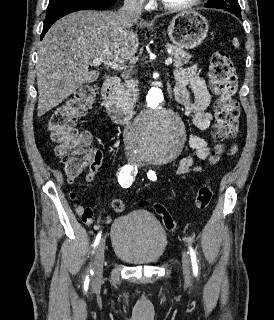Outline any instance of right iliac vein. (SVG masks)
Masks as SVG:
<instances>
[{"mask_svg": "<svg viewBox=\"0 0 274 320\" xmlns=\"http://www.w3.org/2000/svg\"><path fill=\"white\" fill-rule=\"evenodd\" d=\"M104 258H105V240L102 239L96 248L94 260H93L92 285L95 288L99 287L101 284V280L103 276Z\"/></svg>", "mask_w": 274, "mask_h": 320, "instance_id": "63e3f726", "label": "right iliac vein"}]
</instances>
